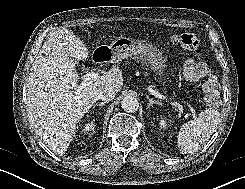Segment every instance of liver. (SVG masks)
I'll return each mask as SVG.
<instances>
[{
	"label": "liver",
	"instance_id": "6515ba94",
	"mask_svg": "<svg viewBox=\"0 0 245 189\" xmlns=\"http://www.w3.org/2000/svg\"><path fill=\"white\" fill-rule=\"evenodd\" d=\"M88 50L73 31L58 29L44 42L33 62L27 84V109L34 130L53 152L64 155L77 123L96 102L100 90L119 92V68L104 72L78 92L75 66L88 58Z\"/></svg>",
	"mask_w": 245,
	"mask_h": 189
}]
</instances>
